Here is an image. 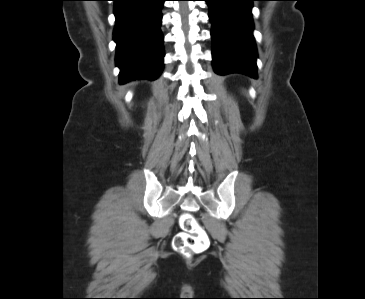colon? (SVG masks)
<instances>
[{"instance_id": "5ec220e1", "label": "colon", "mask_w": 365, "mask_h": 299, "mask_svg": "<svg viewBox=\"0 0 365 299\" xmlns=\"http://www.w3.org/2000/svg\"><path fill=\"white\" fill-rule=\"evenodd\" d=\"M179 224L182 232L174 237L173 246L176 251L190 255L200 253L208 248L210 238L198 220L192 215H181Z\"/></svg>"}]
</instances>
